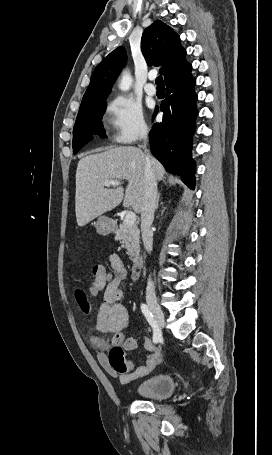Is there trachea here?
Returning a JSON list of instances; mask_svg holds the SVG:
<instances>
[{"label":"trachea","instance_id":"3493384b","mask_svg":"<svg viewBox=\"0 0 272 455\" xmlns=\"http://www.w3.org/2000/svg\"><path fill=\"white\" fill-rule=\"evenodd\" d=\"M155 83H156L157 87H164V82H163L162 76H158L156 78V82Z\"/></svg>","mask_w":272,"mask_h":455}]
</instances>
